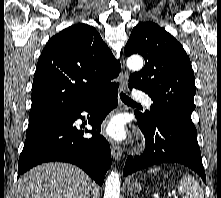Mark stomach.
<instances>
[{
	"mask_svg": "<svg viewBox=\"0 0 221 198\" xmlns=\"http://www.w3.org/2000/svg\"><path fill=\"white\" fill-rule=\"evenodd\" d=\"M130 191L140 192L142 190V185L138 182H134L129 185Z\"/></svg>",
	"mask_w": 221,
	"mask_h": 198,
	"instance_id": "stomach-1",
	"label": "stomach"
}]
</instances>
